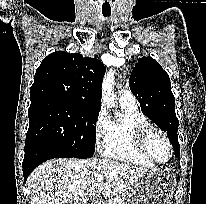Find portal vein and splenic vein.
I'll return each instance as SVG.
<instances>
[{"instance_id":"portal-vein-and-splenic-vein-1","label":"portal vein and splenic vein","mask_w":206,"mask_h":204,"mask_svg":"<svg viewBox=\"0 0 206 204\" xmlns=\"http://www.w3.org/2000/svg\"><path fill=\"white\" fill-rule=\"evenodd\" d=\"M95 179H96L97 182H101L103 180V176L99 175Z\"/></svg>"}]
</instances>
